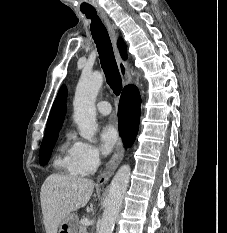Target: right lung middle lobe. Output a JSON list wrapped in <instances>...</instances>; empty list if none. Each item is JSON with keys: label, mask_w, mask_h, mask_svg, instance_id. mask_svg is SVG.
Segmentation results:
<instances>
[{"label": "right lung middle lobe", "mask_w": 227, "mask_h": 233, "mask_svg": "<svg viewBox=\"0 0 227 233\" xmlns=\"http://www.w3.org/2000/svg\"><path fill=\"white\" fill-rule=\"evenodd\" d=\"M58 138V134L47 138L43 139L41 148H40V157H39V162L41 165H46L49 161L50 155L52 153V148Z\"/></svg>", "instance_id": "dd1d6c3e"}]
</instances>
